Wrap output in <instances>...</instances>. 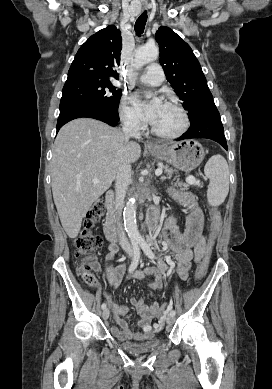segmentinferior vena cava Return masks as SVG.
Returning a JSON list of instances; mask_svg holds the SVG:
<instances>
[{"mask_svg":"<svg viewBox=\"0 0 272 389\" xmlns=\"http://www.w3.org/2000/svg\"><path fill=\"white\" fill-rule=\"evenodd\" d=\"M122 131L124 133L125 142H128L130 137H134L137 139L141 138L140 127L131 118H127L124 120L122 125ZM130 182H131V165L127 162H124L118 168V172L115 179V192H116L115 202H116V210L118 212L117 230L119 236V244L121 248L127 253L132 252V246L128 241L122 229V226L120 224V210L124 203L126 188Z\"/></svg>","mask_w":272,"mask_h":389,"instance_id":"obj_1","label":"inferior vena cava"}]
</instances>
